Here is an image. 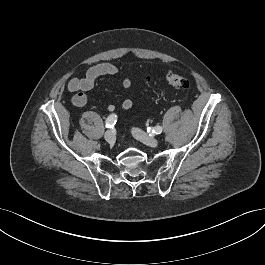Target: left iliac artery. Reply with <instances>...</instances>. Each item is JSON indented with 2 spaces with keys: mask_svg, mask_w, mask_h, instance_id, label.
Returning a JSON list of instances; mask_svg holds the SVG:
<instances>
[{
  "mask_svg": "<svg viewBox=\"0 0 265 265\" xmlns=\"http://www.w3.org/2000/svg\"><path fill=\"white\" fill-rule=\"evenodd\" d=\"M162 127L161 126H156V127H153V128H148L147 129V132L150 134V136L152 134H160L162 132Z\"/></svg>",
  "mask_w": 265,
  "mask_h": 265,
  "instance_id": "1",
  "label": "left iliac artery"
}]
</instances>
